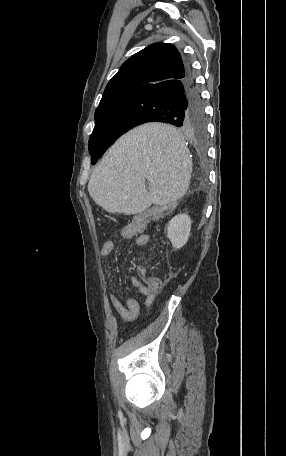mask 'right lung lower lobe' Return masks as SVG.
I'll list each match as a JSON object with an SVG mask.
<instances>
[{"label": "right lung lower lobe", "instance_id": "98d812e1", "mask_svg": "<svg viewBox=\"0 0 286 456\" xmlns=\"http://www.w3.org/2000/svg\"><path fill=\"white\" fill-rule=\"evenodd\" d=\"M132 98L139 107V125L164 122L193 132L205 120L200 93L188 64L182 77L148 87Z\"/></svg>", "mask_w": 286, "mask_h": 456}]
</instances>
